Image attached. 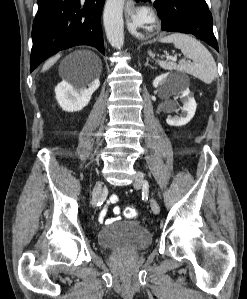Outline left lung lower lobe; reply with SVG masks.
<instances>
[{
  "label": "left lung lower lobe",
  "mask_w": 247,
  "mask_h": 299,
  "mask_svg": "<svg viewBox=\"0 0 247 299\" xmlns=\"http://www.w3.org/2000/svg\"><path fill=\"white\" fill-rule=\"evenodd\" d=\"M154 6L162 19V30L193 34L218 51L212 15L205 0H156Z\"/></svg>",
  "instance_id": "1"
}]
</instances>
